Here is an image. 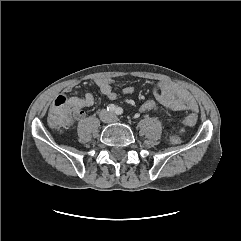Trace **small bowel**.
<instances>
[{"label":"small bowel","mask_w":241,"mask_h":241,"mask_svg":"<svg viewBox=\"0 0 241 241\" xmlns=\"http://www.w3.org/2000/svg\"><path fill=\"white\" fill-rule=\"evenodd\" d=\"M95 84L107 98L111 100L117 98V93L113 89V85L116 84L114 79L98 78L95 80ZM73 89L74 85H69L66 87L65 92H71ZM133 92V87L123 89V93L126 95ZM155 97L161 105L172 111H198V104L194 97L187 90L172 81H159L155 87ZM69 102L77 108L74 118L80 120L84 116L82 108L93 106L95 99L91 93H87L82 98L72 97L69 99Z\"/></svg>","instance_id":"1"}]
</instances>
